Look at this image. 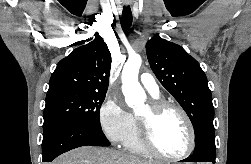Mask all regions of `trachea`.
<instances>
[{
  "mask_svg": "<svg viewBox=\"0 0 251 164\" xmlns=\"http://www.w3.org/2000/svg\"><path fill=\"white\" fill-rule=\"evenodd\" d=\"M132 12L130 6H124L122 12V20L126 29H129L132 25Z\"/></svg>",
  "mask_w": 251,
  "mask_h": 164,
  "instance_id": "trachea-1",
  "label": "trachea"
}]
</instances>
